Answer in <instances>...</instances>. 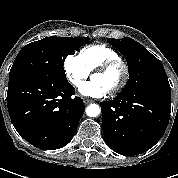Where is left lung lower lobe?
<instances>
[{
    "instance_id": "obj_1",
    "label": "left lung lower lobe",
    "mask_w": 178,
    "mask_h": 178,
    "mask_svg": "<svg viewBox=\"0 0 178 178\" xmlns=\"http://www.w3.org/2000/svg\"><path fill=\"white\" fill-rule=\"evenodd\" d=\"M108 146L121 155L146 152L163 136L170 118L171 89L143 86L100 103Z\"/></svg>"
}]
</instances>
